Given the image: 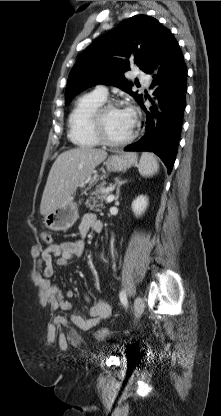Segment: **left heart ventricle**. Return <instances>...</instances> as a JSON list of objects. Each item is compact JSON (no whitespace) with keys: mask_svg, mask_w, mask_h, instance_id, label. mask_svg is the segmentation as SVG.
Wrapping results in <instances>:
<instances>
[{"mask_svg":"<svg viewBox=\"0 0 221 416\" xmlns=\"http://www.w3.org/2000/svg\"><path fill=\"white\" fill-rule=\"evenodd\" d=\"M104 128L110 139L123 140L132 131L133 116L122 108L108 110L104 115Z\"/></svg>","mask_w":221,"mask_h":416,"instance_id":"obj_1","label":"left heart ventricle"}]
</instances>
